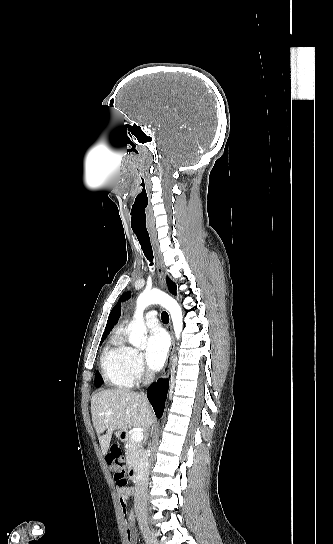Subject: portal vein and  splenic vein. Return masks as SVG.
I'll use <instances>...</instances> for the list:
<instances>
[{
    "label": "portal vein and splenic vein",
    "instance_id": "18ae733b",
    "mask_svg": "<svg viewBox=\"0 0 333 544\" xmlns=\"http://www.w3.org/2000/svg\"><path fill=\"white\" fill-rule=\"evenodd\" d=\"M131 437H132V439H133L134 441H142L144 435H143V432H142V431H139V430H138V431L133 432L132 435H131Z\"/></svg>",
    "mask_w": 333,
    "mask_h": 544
}]
</instances>
